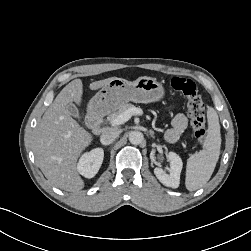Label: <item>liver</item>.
<instances>
[{"label": "liver", "instance_id": "6515ba94", "mask_svg": "<svg viewBox=\"0 0 251 251\" xmlns=\"http://www.w3.org/2000/svg\"><path fill=\"white\" fill-rule=\"evenodd\" d=\"M116 77L92 82L91 90L107 85ZM83 84L75 79L56 96L37 124L33 151L37 164L48 181L69 192L79 191L84 181L77 171V159L93 141V136L71 117L67 106L81 105Z\"/></svg>", "mask_w": 251, "mask_h": 251}]
</instances>
